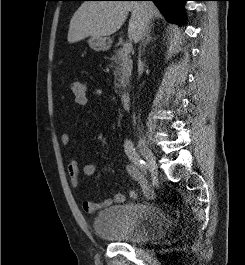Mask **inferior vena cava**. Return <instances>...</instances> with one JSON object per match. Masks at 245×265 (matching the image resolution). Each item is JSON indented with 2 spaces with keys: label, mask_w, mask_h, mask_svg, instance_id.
<instances>
[{
  "label": "inferior vena cava",
  "mask_w": 245,
  "mask_h": 265,
  "mask_svg": "<svg viewBox=\"0 0 245 265\" xmlns=\"http://www.w3.org/2000/svg\"><path fill=\"white\" fill-rule=\"evenodd\" d=\"M143 5L145 6V11L143 14V20H142V26L140 29V35H139V40L143 43L144 42V37L146 36L147 31L149 30V25L152 20V15L151 13L146 9L147 7V2H142ZM139 61V65H140Z\"/></svg>",
  "instance_id": "obj_1"
}]
</instances>
